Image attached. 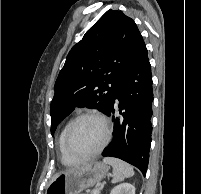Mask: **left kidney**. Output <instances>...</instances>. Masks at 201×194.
Segmentation results:
<instances>
[{
	"label": "left kidney",
	"mask_w": 201,
	"mask_h": 194,
	"mask_svg": "<svg viewBox=\"0 0 201 194\" xmlns=\"http://www.w3.org/2000/svg\"><path fill=\"white\" fill-rule=\"evenodd\" d=\"M110 194H135V187L130 183H121L114 187Z\"/></svg>",
	"instance_id": "obj_1"
}]
</instances>
